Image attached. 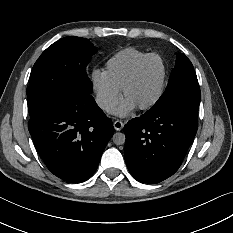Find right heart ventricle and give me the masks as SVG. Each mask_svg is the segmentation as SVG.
<instances>
[{"label": "right heart ventricle", "mask_w": 233, "mask_h": 233, "mask_svg": "<svg viewBox=\"0 0 233 233\" xmlns=\"http://www.w3.org/2000/svg\"><path fill=\"white\" fill-rule=\"evenodd\" d=\"M148 54L136 48L122 49L107 59L104 73L116 87L122 89L130 73Z\"/></svg>", "instance_id": "e07e8e85"}]
</instances>
